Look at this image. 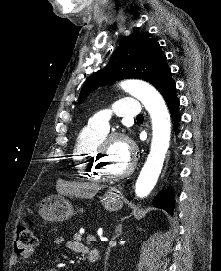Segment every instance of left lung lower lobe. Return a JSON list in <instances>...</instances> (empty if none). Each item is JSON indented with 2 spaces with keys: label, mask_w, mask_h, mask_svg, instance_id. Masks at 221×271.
<instances>
[{
  "label": "left lung lower lobe",
  "mask_w": 221,
  "mask_h": 271,
  "mask_svg": "<svg viewBox=\"0 0 221 271\" xmlns=\"http://www.w3.org/2000/svg\"><path fill=\"white\" fill-rule=\"evenodd\" d=\"M176 85L174 82H171L165 89H163L160 93L168 105V108L173 117L175 126L178 125L180 121V115L178 113L179 100L175 96ZM174 194L170 189L165 190L164 192H160L157 197L153 200V205L155 207L162 208L166 210L168 213L172 214L174 209Z\"/></svg>",
  "instance_id": "0a47b994"
}]
</instances>
